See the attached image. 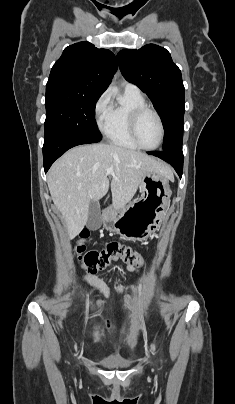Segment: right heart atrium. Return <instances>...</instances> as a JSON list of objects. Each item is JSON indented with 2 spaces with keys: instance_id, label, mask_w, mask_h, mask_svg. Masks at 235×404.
Wrapping results in <instances>:
<instances>
[{
  "instance_id": "d8ad5b80",
  "label": "right heart atrium",
  "mask_w": 235,
  "mask_h": 404,
  "mask_svg": "<svg viewBox=\"0 0 235 404\" xmlns=\"http://www.w3.org/2000/svg\"><path fill=\"white\" fill-rule=\"evenodd\" d=\"M111 105V97L107 91L103 92L95 102L93 113L95 122L100 129L104 128Z\"/></svg>"
}]
</instances>
